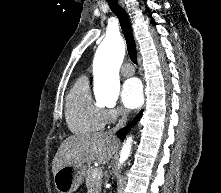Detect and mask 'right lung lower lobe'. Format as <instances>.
I'll return each instance as SVG.
<instances>
[{
	"label": "right lung lower lobe",
	"mask_w": 221,
	"mask_h": 193,
	"mask_svg": "<svg viewBox=\"0 0 221 193\" xmlns=\"http://www.w3.org/2000/svg\"><path fill=\"white\" fill-rule=\"evenodd\" d=\"M143 111L139 112L137 114V116L124 128L120 129L118 132H117V136L124 140L126 134L129 132V130L131 129V127L136 124V122L140 119L141 115H142Z\"/></svg>",
	"instance_id": "1"
}]
</instances>
